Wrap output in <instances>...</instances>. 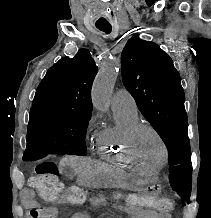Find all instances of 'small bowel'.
Here are the masks:
<instances>
[{
	"instance_id": "c3829d8e",
	"label": "small bowel",
	"mask_w": 211,
	"mask_h": 218,
	"mask_svg": "<svg viewBox=\"0 0 211 218\" xmlns=\"http://www.w3.org/2000/svg\"><path fill=\"white\" fill-rule=\"evenodd\" d=\"M22 201L24 203L25 206L30 207V208H35L37 207V202L35 200V192L34 190H32L31 188H25L22 191ZM90 206L92 207H99L102 205H106L107 203L103 200L100 199H96V200H91L89 201ZM113 207L116 208H120V209H125L129 212L135 213V214H143L145 217L148 218H153L155 217L154 212L149 211V210H142L140 208H136V207H125V206H120L118 204H111ZM42 211L46 214V215H50L53 216L56 214V209L52 208V207H48V208H44L42 209Z\"/></svg>"
}]
</instances>
